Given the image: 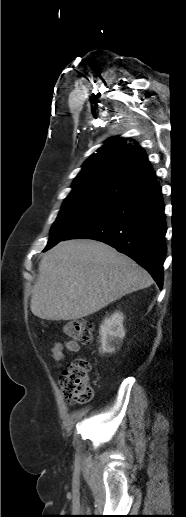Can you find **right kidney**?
<instances>
[{
	"instance_id": "right-kidney-1",
	"label": "right kidney",
	"mask_w": 186,
	"mask_h": 517,
	"mask_svg": "<svg viewBox=\"0 0 186 517\" xmlns=\"http://www.w3.org/2000/svg\"><path fill=\"white\" fill-rule=\"evenodd\" d=\"M123 319V314L118 311L104 319L99 329L100 353H113L121 346L125 336Z\"/></svg>"
}]
</instances>
